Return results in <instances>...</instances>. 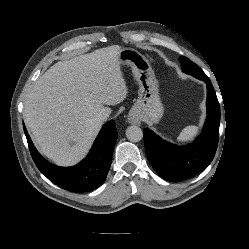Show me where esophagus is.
<instances>
[{
    "label": "esophagus",
    "mask_w": 249,
    "mask_h": 249,
    "mask_svg": "<svg viewBox=\"0 0 249 249\" xmlns=\"http://www.w3.org/2000/svg\"><path fill=\"white\" fill-rule=\"evenodd\" d=\"M128 122L131 123V124H134V125H139L140 124V118L135 115V114H130L128 116Z\"/></svg>",
    "instance_id": "34e87169"
}]
</instances>
